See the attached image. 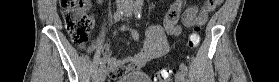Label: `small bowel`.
Here are the masks:
<instances>
[{
    "mask_svg": "<svg viewBox=\"0 0 279 82\" xmlns=\"http://www.w3.org/2000/svg\"><path fill=\"white\" fill-rule=\"evenodd\" d=\"M184 4L185 0L174 1L168 9L163 23L149 26L146 29L145 40L138 52L126 56H116L112 53L110 44L104 45L102 60L107 64L109 74L113 78H117L129 71L141 70L148 61L161 57L169 51V36L179 35L184 27L204 25L209 13L215 9L208 5L207 1L201 7L192 5L186 9H184ZM180 16L181 23H179ZM121 33L128 35L127 41L139 42L137 29L121 26L115 34L118 36Z\"/></svg>",
    "mask_w": 279,
    "mask_h": 82,
    "instance_id": "1",
    "label": "small bowel"
}]
</instances>
